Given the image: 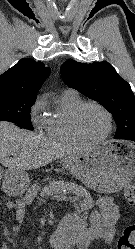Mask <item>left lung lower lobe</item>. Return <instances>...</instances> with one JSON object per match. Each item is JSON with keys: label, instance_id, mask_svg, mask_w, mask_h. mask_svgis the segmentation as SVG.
Returning a JSON list of instances; mask_svg holds the SVG:
<instances>
[{"label": "left lung lower lobe", "instance_id": "1", "mask_svg": "<svg viewBox=\"0 0 135 249\" xmlns=\"http://www.w3.org/2000/svg\"><path fill=\"white\" fill-rule=\"evenodd\" d=\"M127 140L135 141V137H131V138L127 139Z\"/></svg>", "mask_w": 135, "mask_h": 249}]
</instances>
